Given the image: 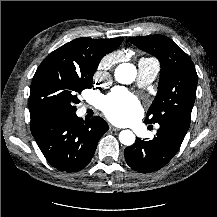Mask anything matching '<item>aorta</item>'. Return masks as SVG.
I'll return each instance as SVG.
<instances>
[{
    "instance_id": "obj_1",
    "label": "aorta",
    "mask_w": 217,
    "mask_h": 217,
    "mask_svg": "<svg viewBox=\"0 0 217 217\" xmlns=\"http://www.w3.org/2000/svg\"><path fill=\"white\" fill-rule=\"evenodd\" d=\"M137 75L136 67L131 63L120 64L114 73L115 79L121 84H131ZM119 140L126 146H131L135 142V135L130 130H123L119 134Z\"/></svg>"
}]
</instances>
